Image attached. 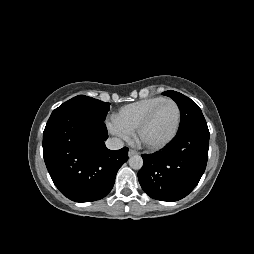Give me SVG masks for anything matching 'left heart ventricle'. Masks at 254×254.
<instances>
[{"mask_svg": "<svg viewBox=\"0 0 254 254\" xmlns=\"http://www.w3.org/2000/svg\"><path fill=\"white\" fill-rule=\"evenodd\" d=\"M177 122V109L172 103L163 104L152 121L145 128L142 139L149 144H158L166 140L173 132Z\"/></svg>", "mask_w": 254, "mask_h": 254, "instance_id": "obj_1", "label": "left heart ventricle"}]
</instances>
